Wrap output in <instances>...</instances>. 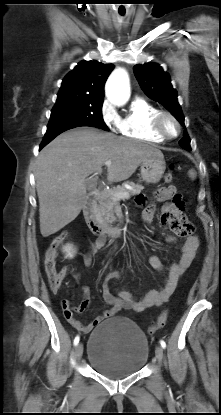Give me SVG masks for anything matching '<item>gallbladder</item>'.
<instances>
[{
    "label": "gallbladder",
    "mask_w": 221,
    "mask_h": 415,
    "mask_svg": "<svg viewBox=\"0 0 221 415\" xmlns=\"http://www.w3.org/2000/svg\"><path fill=\"white\" fill-rule=\"evenodd\" d=\"M95 184H96V181L94 179L85 180V186H86L87 190H91L95 186Z\"/></svg>",
    "instance_id": "gallbladder-1"
}]
</instances>
